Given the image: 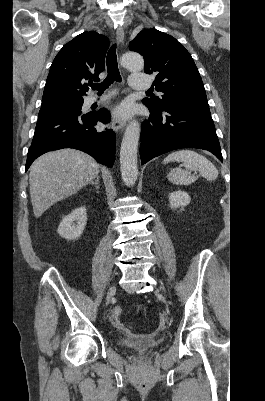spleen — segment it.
<instances>
[{
  "label": "spleen",
  "instance_id": "spleen-1",
  "mask_svg": "<svg viewBox=\"0 0 265 401\" xmlns=\"http://www.w3.org/2000/svg\"><path fill=\"white\" fill-rule=\"evenodd\" d=\"M183 162V166H186V170L183 168H173L167 174L168 180L173 184H192L197 180L198 176L190 174L191 170H198L199 174L205 176L207 180H215L218 176V170L211 160L205 158L203 154H198L195 150H175L168 154L163 160V164L166 162Z\"/></svg>",
  "mask_w": 265,
  "mask_h": 401
}]
</instances>
